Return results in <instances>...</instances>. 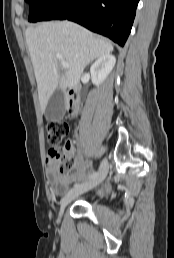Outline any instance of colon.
Instances as JSON below:
<instances>
[{"label": "colon", "instance_id": "obj_1", "mask_svg": "<svg viewBox=\"0 0 174 258\" xmlns=\"http://www.w3.org/2000/svg\"><path fill=\"white\" fill-rule=\"evenodd\" d=\"M69 130V125L62 121H53L47 125V139L52 146L49 156L57 162L58 175L61 178H67L75 173V163L69 155L70 143H63Z\"/></svg>", "mask_w": 174, "mask_h": 258}]
</instances>
